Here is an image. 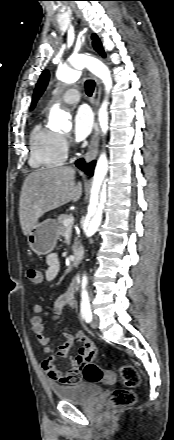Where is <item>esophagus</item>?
Listing matches in <instances>:
<instances>
[{
	"instance_id": "esophagus-1",
	"label": "esophagus",
	"mask_w": 174,
	"mask_h": 440,
	"mask_svg": "<svg viewBox=\"0 0 174 440\" xmlns=\"http://www.w3.org/2000/svg\"><path fill=\"white\" fill-rule=\"evenodd\" d=\"M95 82H96V85H95L94 96H93V110H94L95 122H94L93 135L91 137L88 151L85 155V161L87 163L91 162L95 158V156L98 152L99 138H100V130H99L98 122H97V111H98L100 98H101V85H100L99 79L95 78Z\"/></svg>"
}]
</instances>
